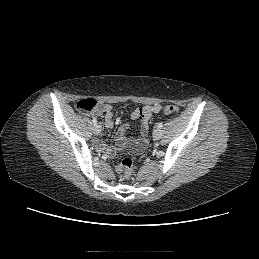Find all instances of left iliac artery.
Returning <instances> with one entry per match:
<instances>
[{"instance_id":"left-iliac-artery-1","label":"left iliac artery","mask_w":259,"mask_h":259,"mask_svg":"<svg viewBox=\"0 0 259 259\" xmlns=\"http://www.w3.org/2000/svg\"><path fill=\"white\" fill-rule=\"evenodd\" d=\"M157 127H158V128H162V127H163V123H162V122H161V123H158Z\"/></svg>"}]
</instances>
